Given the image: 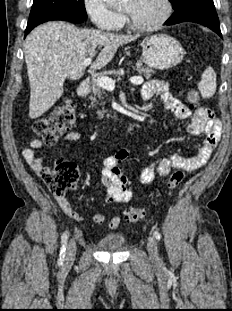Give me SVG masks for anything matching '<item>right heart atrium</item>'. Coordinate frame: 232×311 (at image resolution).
Instances as JSON below:
<instances>
[{"mask_svg": "<svg viewBox=\"0 0 232 311\" xmlns=\"http://www.w3.org/2000/svg\"><path fill=\"white\" fill-rule=\"evenodd\" d=\"M83 5L94 26L100 30H117L123 22V15L112 10L106 0H83Z\"/></svg>", "mask_w": 232, "mask_h": 311, "instance_id": "obj_1", "label": "right heart atrium"}]
</instances>
